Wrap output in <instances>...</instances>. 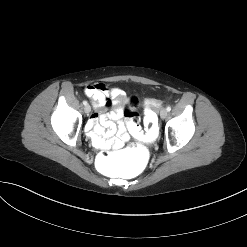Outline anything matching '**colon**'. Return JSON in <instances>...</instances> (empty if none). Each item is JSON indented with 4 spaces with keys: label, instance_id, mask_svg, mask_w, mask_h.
<instances>
[{
    "label": "colon",
    "instance_id": "obj_1",
    "mask_svg": "<svg viewBox=\"0 0 247 247\" xmlns=\"http://www.w3.org/2000/svg\"><path fill=\"white\" fill-rule=\"evenodd\" d=\"M131 104L132 106L125 111V115L130 134L136 141L130 142L120 153L104 151L97 154L93 165L100 175L119 179L136 177L149 163L150 155L145 145H156L160 140V126L152 112V101L145 100L142 103V117L147 123L149 134H145L139 125V115L134 110L136 100L133 99Z\"/></svg>",
    "mask_w": 247,
    "mask_h": 247
}]
</instances>
